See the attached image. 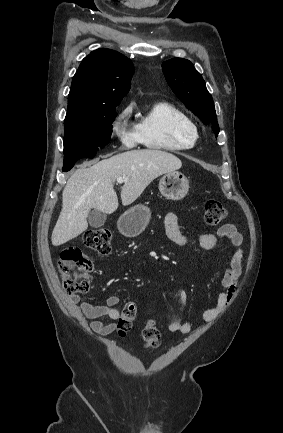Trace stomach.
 Segmentation results:
<instances>
[{"label": "stomach", "instance_id": "1", "mask_svg": "<svg viewBox=\"0 0 283 433\" xmlns=\"http://www.w3.org/2000/svg\"><path fill=\"white\" fill-rule=\"evenodd\" d=\"M159 190L170 200H181L189 190V180L182 172H166L159 180ZM151 217L150 208L144 204H135L125 210L117 223L124 237H137L147 227Z\"/></svg>", "mask_w": 283, "mask_h": 433}]
</instances>
